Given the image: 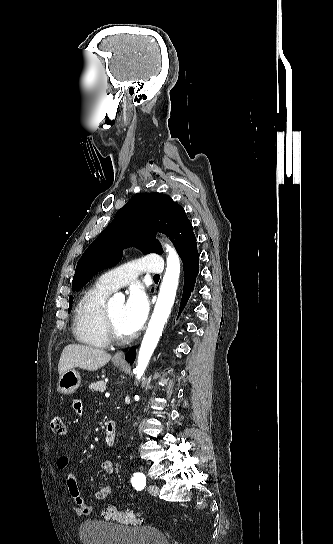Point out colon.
Instances as JSON below:
<instances>
[{"instance_id":"5ec220e1","label":"colon","mask_w":333,"mask_h":544,"mask_svg":"<svg viewBox=\"0 0 333 544\" xmlns=\"http://www.w3.org/2000/svg\"><path fill=\"white\" fill-rule=\"evenodd\" d=\"M50 426H51V430L56 435L63 436L67 432L65 423L61 417H54L51 420ZM102 516L106 520L119 522L126 525L136 526L143 523L142 518L138 514L132 511L118 510L113 506H108L103 512Z\"/></svg>"}]
</instances>
